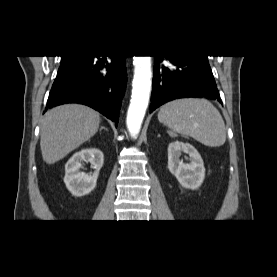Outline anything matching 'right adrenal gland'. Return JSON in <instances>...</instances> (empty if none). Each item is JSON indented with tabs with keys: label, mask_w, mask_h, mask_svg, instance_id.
Listing matches in <instances>:
<instances>
[{
	"label": "right adrenal gland",
	"mask_w": 277,
	"mask_h": 277,
	"mask_svg": "<svg viewBox=\"0 0 277 277\" xmlns=\"http://www.w3.org/2000/svg\"><path fill=\"white\" fill-rule=\"evenodd\" d=\"M103 129L106 130V131H108V129L105 128V127H103V126L100 128V131L103 130Z\"/></svg>",
	"instance_id": "1"
}]
</instances>
